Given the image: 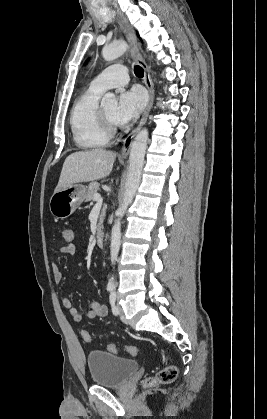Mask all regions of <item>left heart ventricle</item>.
Segmentation results:
<instances>
[{
    "label": "left heart ventricle",
    "mask_w": 267,
    "mask_h": 419,
    "mask_svg": "<svg viewBox=\"0 0 267 419\" xmlns=\"http://www.w3.org/2000/svg\"><path fill=\"white\" fill-rule=\"evenodd\" d=\"M106 115L108 116V118L113 122H115V114H116V109H117V105L115 103L113 104H109L103 107Z\"/></svg>",
    "instance_id": "obj_1"
}]
</instances>
